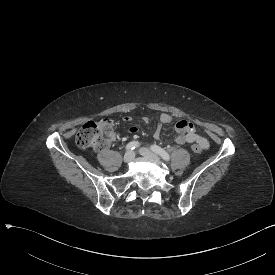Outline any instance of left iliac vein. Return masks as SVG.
I'll return each instance as SVG.
<instances>
[{
    "instance_id": "1",
    "label": "left iliac vein",
    "mask_w": 275,
    "mask_h": 275,
    "mask_svg": "<svg viewBox=\"0 0 275 275\" xmlns=\"http://www.w3.org/2000/svg\"><path fill=\"white\" fill-rule=\"evenodd\" d=\"M139 153L144 156L145 158L151 159V160H159V157L157 154L152 152L150 149L142 147L139 149Z\"/></svg>"
}]
</instances>
